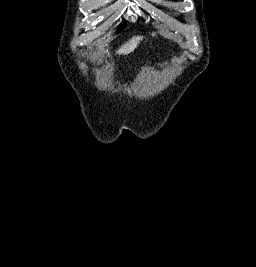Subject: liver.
<instances>
[{"mask_svg": "<svg viewBox=\"0 0 256 267\" xmlns=\"http://www.w3.org/2000/svg\"><path fill=\"white\" fill-rule=\"evenodd\" d=\"M141 40H143V36H133V38H130L124 46H121L120 50H118L116 54H124V56L131 54V52H134L135 48H137Z\"/></svg>", "mask_w": 256, "mask_h": 267, "instance_id": "liver-1", "label": "liver"}]
</instances>
